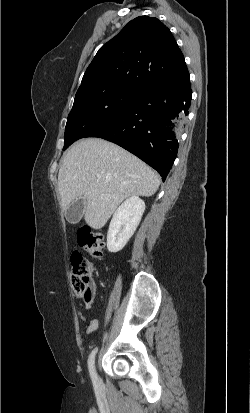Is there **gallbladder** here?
Instances as JSON below:
<instances>
[{
  "instance_id": "gallbladder-1",
  "label": "gallbladder",
  "mask_w": 250,
  "mask_h": 413,
  "mask_svg": "<svg viewBox=\"0 0 250 413\" xmlns=\"http://www.w3.org/2000/svg\"><path fill=\"white\" fill-rule=\"evenodd\" d=\"M86 201L84 198L75 200L65 211L66 219L71 224H77L83 217Z\"/></svg>"
}]
</instances>
